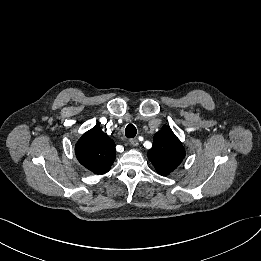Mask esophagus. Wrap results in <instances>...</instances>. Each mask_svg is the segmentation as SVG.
Instances as JSON below:
<instances>
[{"label": "esophagus", "mask_w": 261, "mask_h": 261, "mask_svg": "<svg viewBox=\"0 0 261 261\" xmlns=\"http://www.w3.org/2000/svg\"><path fill=\"white\" fill-rule=\"evenodd\" d=\"M130 144L134 147H137L139 145V142L137 139H130Z\"/></svg>", "instance_id": "obj_1"}]
</instances>
